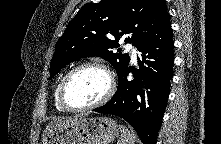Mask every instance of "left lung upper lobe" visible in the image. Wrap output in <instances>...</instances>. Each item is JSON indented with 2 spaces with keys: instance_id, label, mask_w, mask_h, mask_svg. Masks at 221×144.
I'll list each match as a JSON object with an SVG mask.
<instances>
[{
  "instance_id": "5c2ea615",
  "label": "left lung upper lobe",
  "mask_w": 221,
  "mask_h": 144,
  "mask_svg": "<svg viewBox=\"0 0 221 144\" xmlns=\"http://www.w3.org/2000/svg\"><path fill=\"white\" fill-rule=\"evenodd\" d=\"M166 13L164 0H101L85 4L57 43L49 79L67 64L92 56L107 60L119 74L130 59L121 53L118 41L124 39L138 47Z\"/></svg>"
}]
</instances>
